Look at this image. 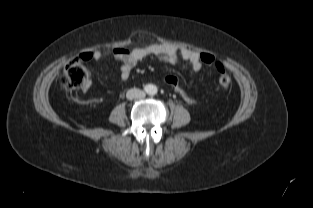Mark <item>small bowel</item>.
Wrapping results in <instances>:
<instances>
[{"instance_id":"c3829d8e","label":"small bowel","mask_w":313,"mask_h":208,"mask_svg":"<svg viewBox=\"0 0 313 208\" xmlns=\"http://www.w3.org/2000/svg\"><path fill=\"white\" fill-rule=\"evenodd\" d=\"M115 60L121 63L120 66V78L125 81L130 77L132 69L143 59L147 57H155L159 60L175 64L179 58L189 64L192 71L198 72L203 66V62L200 60V53L187 49L176 48L168 44H150L143 47H137L134 49H126L122 47L115 48L111 53ZM109 55L98 50L86 52L81 55L84 60H101ZM87 85L84 90H87Z\"/></svg>"}]
</instances>
